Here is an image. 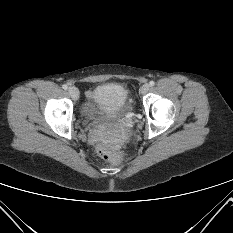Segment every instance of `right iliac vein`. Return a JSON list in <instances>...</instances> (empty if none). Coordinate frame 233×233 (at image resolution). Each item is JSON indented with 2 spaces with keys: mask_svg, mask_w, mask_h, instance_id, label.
Masks as SVG:
<instances>
[{
  "mask_svg": "<svg viewBox=\"0 0 233 233\" xmlns=\"http://www.w3.org/2000/svg\"><path fill=\"white\" fill-rule=\"evenodd\" d=\"M68 92L73 99H77L79 96L78 89L75 87H69Z\"/></svg>",
  "mask_w": 233,
  "mask_h": 233,
  "instance_id": "63e3f726",
  "label": "right iliac vein"
}]
</instances>
